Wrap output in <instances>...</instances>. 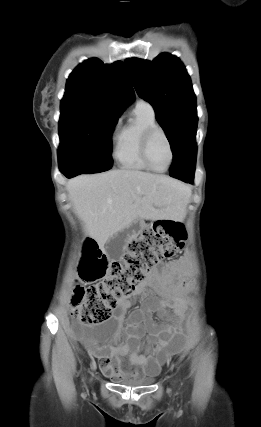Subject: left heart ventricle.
Here are the masks:
<instances>
[{
    "label": "left heart ventricle",
    "instance_id": "obj_1",
    "mask_svg": "<svg viewBox=\"0 0 261 427\" xmlns=\"http://www.w3.org/2000/svg\"><path fill=\"white\" fill-rule=\"evenodd\" d=\"M170 152L168 144L161 134H157L149 147V159L156 169H164L169 161Z\"/></svg>",
    "mask_w": 261,
    "mask_h": 427
}]
</instances>
